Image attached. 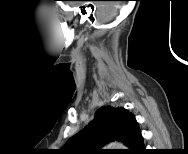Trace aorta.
Wrapping results in <instances>:
<instances>
[{
  "label": "aorta",
  "instance_id": "1",
  "mask_svg": "<svg viewBox=\"0 0 188 154\" xmlns=\"http://www.w3.org/2000/svg\"><path fill=\"white\" fill-rule=\"evenodd\" d=\"M108 147H110V149H124L123 144L119 142H112L108 145Z\"/></svg>",
  "mask_w": 188,
  "mask_h": 154
}]
</instances>
